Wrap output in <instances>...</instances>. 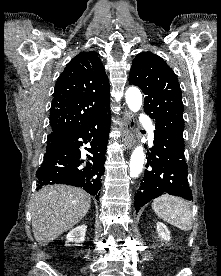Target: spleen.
<instances>
[{"instance_id": "3e777b00", "label": "spleen", "mask_w": 221, "mask_h": 276, "mask_svg": "<svg viewBox=\"0 0 221 276\" xmlns=\"http://www.w3.org/2000/svg\"><path fill=\"white\" fill-rule=\"evenodd\" d=\"M152 209L169 224L183 231L192 229V214L184 199L165 194L153 201Z\"/></svg>"}]
</instances>
